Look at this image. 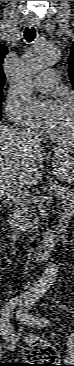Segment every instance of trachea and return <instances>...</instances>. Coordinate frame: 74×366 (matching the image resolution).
Here are the masks:
<instances>
[{
  "label": "trachea",
  "mask_w": 74,
  "mask_h": 366,
  "mask_svg": "<svg viewBox=\"0 0 74 366\" xmlns=\"http://www.w3.org/2000/svg\"><path fill=\"white\" fill-rule=\"evenodd\" d=\"M36 37V30L34 27H26L24 30V38L28 43H31L32 41H34Z\"/></svg>",
  "instance_id": "1"
}]
</instances>
